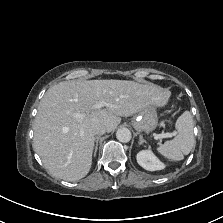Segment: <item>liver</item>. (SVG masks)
I'll list each match as a JSON object with an SVG mask.
<instances>
[{"mask_svg":"<svg viewBox=\"0 0 223 223\" xmlns=\"http://www.w3.org/2000/svg\"><path fill=\"white\" fill-rule=\"evenodd\" d=\"M170 95L159 86L126 80L60 82L49 88L39 103L33 148L53 177L78 181L92 165L95 125L102 124L111 132L122 116L150 105L164 106ZM101 100L106 102L105 108L93 109ZM76 113L83 118H75Z\"/></svg>","mask_w":223,"mask_h":223,"instance_id":"obj_1","label":"liver"}]
</instances>
